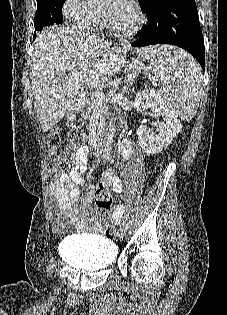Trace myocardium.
I'll return each mask as SVG.
<instances>
[{"label":"myocardium","instance_id":"f54148a6","mask_svg":"<svg viewBox=\"0 0 227 315\" xmlns=\"http://www.w3.org/2000/svg\"><path fill=\"white\" fill-rule=\"evenodd\" d=\"M131 8H132V11H133L134 16H135V23L130 30L122 31V30L116 29L111 24V22L109 21V19L106 16V14H104L103 20H104V24H105L106 28L111 33H113L119 37H122V38H129V37L134 36L141 29V27L144 23V18H143L141 11L139 10V8L135 4H132Z\"/></svg>","mask_w":227,"mask_h":315}]
</instances>
